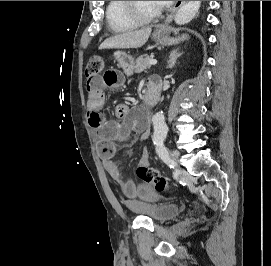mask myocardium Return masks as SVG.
Masks as SVG:
<instances>
[{
	"mask_svg": "<svg viewBox=\"0 0 271 266\" xmlns=\"http://www.w3.org/2000/svg\"><path fill=\"white\" fill-rule=\"evenodd\" d=\"M135 3V1H123V8L127 16L137 24H149L160 18L161 12L152 16L143 15L137 10Z\"/></svg>",
	"mask_w": 271,
	"mask_h": 266,
	"instance_id": "myocardium-1",
	"label": "myocardium"
}]
</instances>
